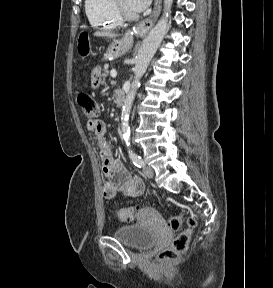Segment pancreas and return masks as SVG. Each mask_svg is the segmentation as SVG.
I'll use <instances>...</instances> for the list:
<instances>
[{"label": "pancreas", "mask_w": 273, "mask_h": 288, "mask_svg": "<svg viewBox=\"0 0 273 288\" xmlns=\"http://www.w3.org/2000/svg\"><path fill=\"white\" fill-rule=\"evenodd\" d=\"M109 76V71L108 70H104L103 73H102V81H101V84H106V78Z\"/></svg>", "instance_id": "cf45deb5"}]
</instances>
